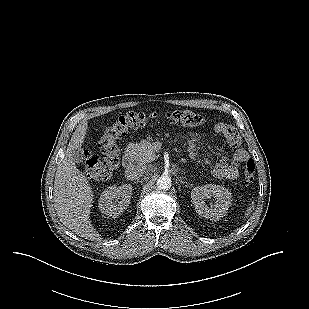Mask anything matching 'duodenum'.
Returning <instances> with one entry per match:
<instances>
[{
  "label": "duodenum",
  "mask_w": 309,
  "mask_h": 309,
  "mask_svg": "<svg viewBox=\"0 0 309 309\" xmlns=\"http://www.w3.org/2000/svg\"><path fill=\"white\" fill-rule=\"evenodd\" d=\"M135 162V153L133 150L129 149L125 152L123 156V165L125 168H130Z\"/></svg>",
  "instance_id": "410a0bca"
}]
</instances>
